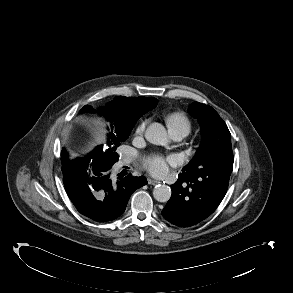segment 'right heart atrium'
<instances>
[{"mask_svg": "<svg viewBox=\"0 0 293 293\" xmlns=\"http://www.w3.org/2000/svg\"><path fill=\"white\" fill-rule=\"evenodd\" d=\"M146 125H147V121L146 120H142L136 127V130H135V133L137 135H141L144 133L145 131V128H146Z\"/></svg>", "mask_w": 293, "mask_h": 293, "instance_id": "right-heart-atrium-1", "label": "right heart atrium"}]
</instances>
